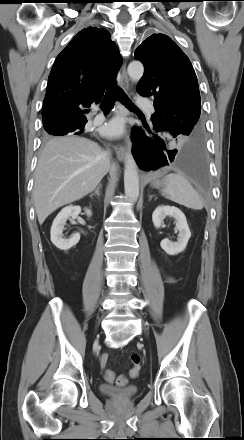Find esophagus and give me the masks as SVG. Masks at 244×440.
Masks as SVG:
<instances>
[{
    "label": "esophagus",
    "mask_w": 244,
    "mask_h": 440,
    "mask_svg": "<svg viewBox=\"0 0 244 440\" xmlns=\"http://www.w3.org/2000/svg\"><path fill=\"white\" fill-rule=\"evenodd\" d=\"M119 86L124 89L125 91H127L129 89V79L127 76V72H126V64L124 63L121 69V74H120V80H119ZM120 112L124 113L125 109L123 106H119ZM114 150L116 153L117 158L120 161H123L126 157V150L122 145H116L114 146Z\"/></svg>",
    "instance_id": "1"
}]
</instances>
